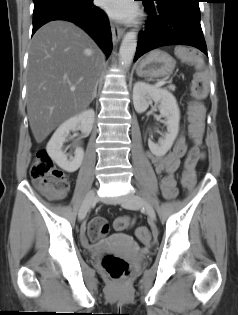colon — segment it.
<instances>
[{
  "label": "colon",
  "instance_id": "obj_1",
  "mask_svg": "<svg viewBox=\"0 0 238 315\" xmlns=\"http://www.w3.org/2000/svg\"><path fill=\"white\" fill-rule=\"evenodd\" d=\"M181 59L187 62H195L198 58L196 52L182 48L178 50ZM207 83L203 73L198 74L192 89V101L189 105V133L191 138L198 143L204 129V106L200 102L206 95ZM30 175L37 187L50 197H61L69 189V180L67 175L58 169L50 158L46 150H39L36 153L33 164L30 168ZM182 184L184 188L190 189L194 184V179L183 175ZM129 219L120 217L115 221L117 230H124L129 226ZM109 229L105 219L93 218L88 226V234L92 239H98L107 234ZM137 236L143 241L150 239L149 231L146 227L137 230ZM102 266L108 275L114 280H122L130 273L129 264L113 255L107 254L102 259Z\"/></svg>",
  "mask_w": 238,
  "mask_h": 315
}]
</instances>
